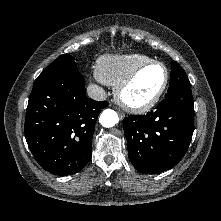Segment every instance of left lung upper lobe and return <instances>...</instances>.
I'll return each mask as SVG.
<instances>
[{"label": "left lung upper lobe", "instance_id": "5c2ea615", "mask_svg": "<svg viewBox=\"0 0 221 221\" xmlns=\"http://www.w3.org/2000/svg\"><path fill=\"white\" fill-rule=\"evenodd\" d=\"M185 85H190L187 75L184 69L176 61H173L171 65L170 86L167 93Z\"/></svg>", "mask_w": 221, "mask_h": 221}]
</instances>
